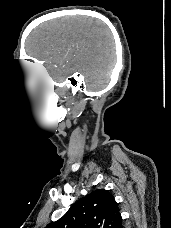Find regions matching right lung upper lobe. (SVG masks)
<instances>
[{
  "instance_id": "cb5924a9",
  "label": "right lung upper lobe",
  "mask_w": 171,
  "mask_h": 228,
  "mask_svg": "<svg viewBox=\"0 0 171 228\" xmlns=\"http://www.w3.org/2000/svg\"><path fill=\"white\" fill-rule=\"evenodd\" d=\"M46 228H122V218L113 196L98 189L78 200L62 218Z\"/></svg>"
}]
</instances>
